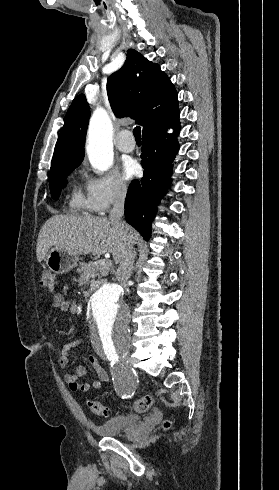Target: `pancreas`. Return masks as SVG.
<instances>
[{"label":"pancreas","instance_id":"1","mask_svg":"<svg viewBox=\"0 0 279 490\" xmlns=\"http://www.w3.org/2000/svg\"><path fill=\"white\" fill-rule=\"evenodd\" d=\"M109 270H112V266H109V264H94V262H81L79 268H77L76 272L77 274H81V276H84V278H97V276H107Z\"/></svg>","mask_w":279,"mask_h":490}]
</instances>
